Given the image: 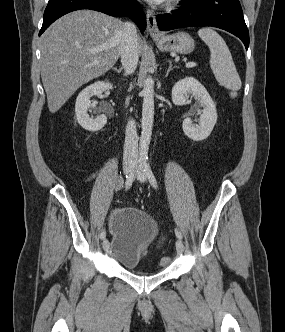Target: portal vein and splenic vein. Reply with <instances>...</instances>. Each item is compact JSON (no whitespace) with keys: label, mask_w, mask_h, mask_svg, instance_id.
I'll use <instances>...</instances> for the list:
<instances>
[{"label":"portal vein and splenic vein","mask_w":285,"mask_h":332,"mask_svg":"<svg viewBox=\"0 0 285 332\" xmlns=\"http://www.w3.org/2000/svg\"><path fill=\"white\" fill-rule=\"evenodd\" d=\"M194 66H196V63L195 62H188V63H186V67H194Z\"/></svg>","instance_id":"obj_1"}]
</instances>
